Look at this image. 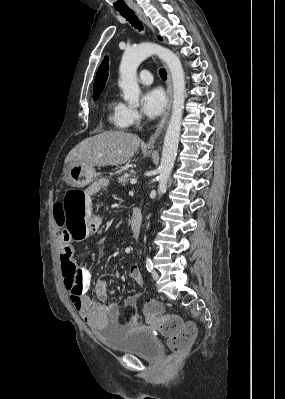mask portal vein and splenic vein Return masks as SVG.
<instances>
[{
  "label": "portal vein and splenic vein",
  "instance_id": "1",
  "mask_svg": "<svg viewBox=\"0 0 285 399\" xmlns=\"http://www.w3.org/2000/svg\"><path fill=\"white\" fill-rule=\"evenodd\" d=\"M130 183H131L132 185H134V184L137 183V180H136V179H131Z\"/></svg>",
  "mask_w": 285,
  "mask_h": 399
}]
</instances>
